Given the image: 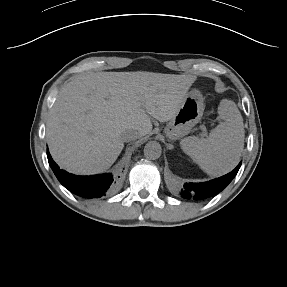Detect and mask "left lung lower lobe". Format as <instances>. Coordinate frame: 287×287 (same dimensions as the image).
<instances>
[{
    "instance_id": "1",
    "label": "left lung lower lobe",
    "mask_w": 287,
    "mask_h": 287,
    "mask_svg": "<svg viewBox=\"0 0 287 287\" xmlns=\"http://www.w3.org/2000/svg\"><path fill=\"white\" fill-rule=\"evenodd\" d=\"M241 163L230 173L220 178L203 183H185L180 191L183 198L205 200L222 191L235 177Z\"/></svg>"
}]
</instances>
